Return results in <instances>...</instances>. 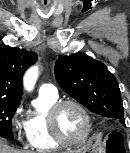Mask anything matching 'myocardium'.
Returning <instances> with one entry per match:
<instances>
[{"label": "myocardium", "mask_w": 130, "mask_h": 153, "mask_svg": "<svg viewBox=\"0 0 130 153\" xmlns=\"http://www.w3.org/2000/svg\"><path fill=\"white\" fill-rule=\"evenodd\" d=\"M67 105L76 107L82 113L84 121H85L84 133L77 140H69L65 138L61 134L59 126H58V115L61 109ZM47 121H48V128H49L51 136L58 144L63 145V146L73 147V146L83 145L89 138L91 130H92L91 117L87 109L82 103H80L77 100H73V99L59 100L55 104H53L52 107L48 111Z\"/></svg>", "instance_id": "1"}]
</instances>
